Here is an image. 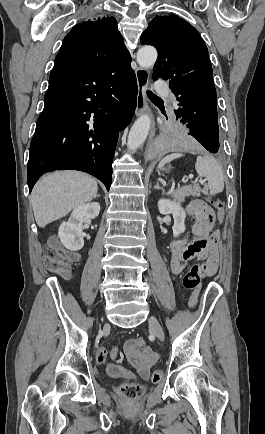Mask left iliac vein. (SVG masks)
<instances>
[{
	"label": "left iliac vein",
	"instance_id": "left-iliac-vein-1",
	"mask_svg": "<svg viewBox=\"0 0 265 434\" xmlns=\"http://www.w3.org/2000/svg\"><path fill=\"white\" fill-rule=\"evenodd\" d=\"M149 326L152 328L154 334L157 336L159 340L161 341L165 340L164 331L155 316H151L149 318Z\"/></svg>",
	"mask_w": 265,
	"mask_h": 434
}]
</instances>
